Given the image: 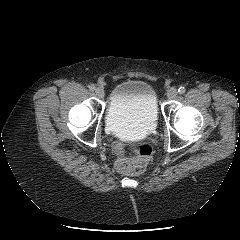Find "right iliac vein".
<instances>
[{"label": "right iliac vein", "instance_id": "1", "mask_svg": "<svg viewBox=\"0 0 240 240\" xmlns=\"http://www.w3.org/2000/svg\"><path fill=\"white\" fill-rule=\"evenodd\" d=\"M95 94L98 98L102 99L104 97V90L102 88H96Z\"/></svg>", "mask_w": 240, "mask_h": 240}]
</instances>
